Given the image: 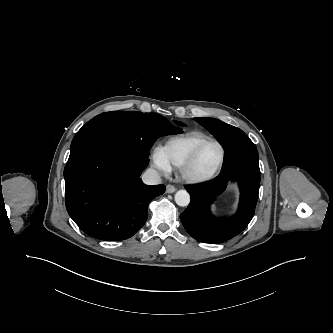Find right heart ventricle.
<instances>
[{
	"mask_svg": "<svg viewBox=\"0 0 333 333\" xmlns=\"http://www.w3.org/2000/svg\"><path fill=\"white\" fill-rule=\"evenodd\" d=\"M209 136L203 132L191 131L167 139L158 149L163 160L171 168H180L193 149Z\"/></svg>",
	"mask_w": 333,
	"mask_h": 333,
	"instance_id": "obj_1",
	"label": "right heart ventricle"
}]
</instances>
